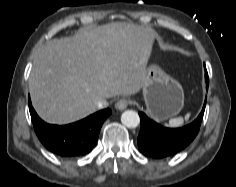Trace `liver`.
I'll use <instances>...</instances> for the list:
<instances>
[{"label": "liver", "instance_id": "obj_1", "mask_svg": "<svg viewBox=\"0 0 236 187\" xmlns=\"http://www.w3.org/2000/svg\"><path fill=\"white\" fill-rule=\"evenodd\" d=\"M154 32L113 22L53 39L37 53L29 90L38 115L68 124L92 114L102 98L136 94L143 87Z\"/></svg>", "mask_w": 236, "mask_h": 187}]
</instances>
